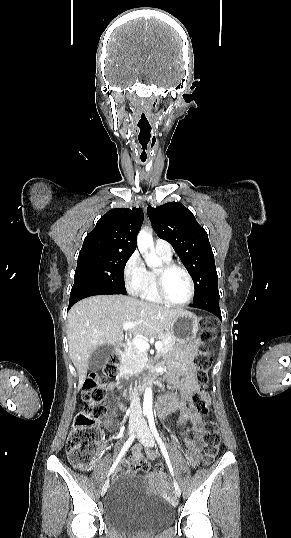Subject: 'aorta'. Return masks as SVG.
<instances>
[{
  "instance_id": "1",
  "label": "aorta",
  "mask_w": 291,
  "mask_h": 538,
  "mask_svg": "<svg viewBox=\"0 0 291 538\" xmlns=\"http://www.w3.org/2000/svg\"><path fill=\"white\" fill-rule=\"evenodd\" d=\"M151 242H152V237L145 230H141L137 238V245H138L139 251L145 254V261L147 265L150 267L156 266L158 264L156 255L149 254L147 252V247L151 244ZM152 405H153L152 389L150 387H147L144 392L143 412L145 414H151Z\"/></svg>"
}]
</instances>
